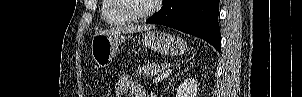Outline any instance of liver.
<instances>
[{
    "instance_id": "1",
    "label": "liver",
    "mask_w": 302,
    "mask_h": 97,
    "mask_svg": "<svg viewBox=\"0 0 302 97\" xmlns=\"http://www.w3.org/2000/svg\"><path fill=\"white\" fill-rule=\"evenodd\" d=\"M152 27L147 25H127V26H119L106 31L96 32L95 35H110V34H118V33H136L142 31H149Z\"/></svg>"
}]
</instances>
